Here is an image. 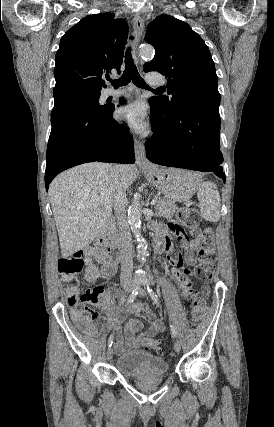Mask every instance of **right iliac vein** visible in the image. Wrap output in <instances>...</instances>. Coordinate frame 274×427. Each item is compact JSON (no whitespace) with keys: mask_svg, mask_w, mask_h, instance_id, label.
I'll return each instance as SVG.
<instances>
[{"mask_svg":"<svg viewBox=\"0 0 274 427\" xmlns=\"http://www.w3.org/2000/svg\"><path fill=\"white\" fill-rule=\"evenodd\" d=\"M122 286H123V288H124V290H125L126 292H130V291H131V285H130V283H128V282H126V281H124V282L122 283ZM113 357H114L113 348H112V347H110V348L108 349V351H107V359H108V361H111V360L113 359Z\"/></svg>","mask_w":274,"mask_h":427,"instance_id":"63e3f726","label":"right iliac vein"}]
</instances>
